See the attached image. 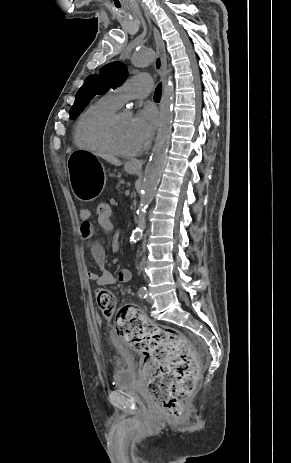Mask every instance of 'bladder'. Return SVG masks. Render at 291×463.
<instances>
[{
  "instance_id": "31cf9c89",
  "label": "bladder",
  "mask_w": 291,
  "mask_h": 463,
  "mask_svg": "<svg viewBox=\"0 0 291 463\" xmlns=\"http://www.w3.org/2000/svg\"><path fill=\"white\" fill-rule=\"evenodd\" d=\"M134 358L120 355L115 368V386L119 389L132 388L136 384V376L133 371Z\"/></svg>"
}]
</instances>
